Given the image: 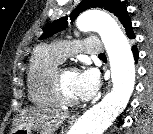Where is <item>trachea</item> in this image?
I'll use <instances>...</instances> for the list:
<instances>
[{"label": "trachea", "instance_id": "trachea-1", "mask_svg": "<svg viewBox=\"0 0 153 134\" xmlns=\"http://www.w3.org/2000/svg\"><path fill=\"white\" fill-rule=\"evenodd\" d=\"M99 56H100V57H103V56H105V54H104V53H102V54H99Z\"/></svg>", "mask_w": 153, "mask_h": 134}]
</instances>
